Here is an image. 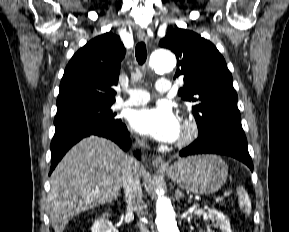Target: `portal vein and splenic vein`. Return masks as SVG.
Returning <instances> with one entry per match:
<instances>
[{
    "label": "portal vein and splenic vein",
    "instance_id": "obj_1",
    "mask_svg": "<svg viewBox=\"0 0 289 232\" xmlns=\"http://www.w3.org/2000/svg\"><path fill=\"white\" fill-rule=\"evenodd\" d=\"M215 201H216L217 203L223 202V201H224V197H223V196L216 197V198H215Z\"/></svg>",
    "mask_w": 289,
    "mask_h": 232
}]
</instances>
